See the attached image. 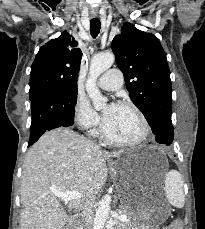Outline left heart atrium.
<instances>
[{
    "instance_id": "39dd6f15",
    "label": "left heart atrium",
    "mask_w": 205,
    "mask_h": 229,
    "mask_svg": "<svg viewBox=\"0 0 205 229\" xmlns=\"http://www.w3.org/2000/svg\"><path fill=\"white\" fill-rule=\"evenodd\" d=\"M118 105L116 103H112L109 105L108 113L113 111Z\"/></svg>"
}]
</instances>
